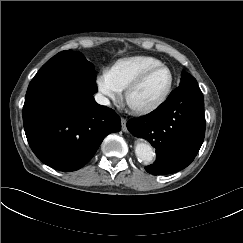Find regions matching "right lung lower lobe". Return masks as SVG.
Instances as JSON below:
<instances>
[{
	"label": "right lung lower lobe",
	"instance_id": "1",
	"mask_svg": "<svg viewBox=\"0 0 243 243\" xmlns=\"http://www.w3.org/2000/svg\"><path fill=\"white\" fill-rule=\"evenodd\" d=\"M96 81L35 76L23 107L24 130L35 155L60 171L82 168L103 139L121 130L114 110L97 104Z\"/></svg>",
	"mask_w": 243,
	"mask_h": 243
}]
</instances>
